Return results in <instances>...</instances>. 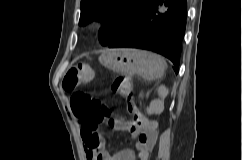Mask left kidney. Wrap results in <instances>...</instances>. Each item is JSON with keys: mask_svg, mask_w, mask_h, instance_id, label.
I'll use <instances>...</instances> for the list:
<instances>
[{"mask_svg": "<svg viewBox=\"0 0 242 160\" xmlns=\"http://www.w3.org/2000/svg\"><path fill=\"white\" fill-rule=\"evenodd\" d=\"M162 95L164 96V93H162ZM164 109V105H163V101L162 100H156V101H152L150 104V108L148 109V113H160L162 112Z\"/></svg>", "mask_w": 242, "mask_h": 160, "instance_id": "obj_1", "label": "left kidney"}]
</instances>
